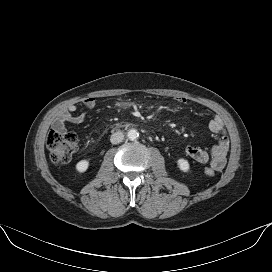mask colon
<instances>
[{
  "instance_id": "1",
  "label": "colon",
  "mask_w": 272,
  "mask_h": 272,
  "mask_svg": "<svg viewBox=\"0 0 272 272\" xmlns=\"http://www.w3.org/2000/svg\"><path fill=\"white\" fill-rule=\"evenodd\" d=\"M50 158L54 164L62 165L70 161L77 149V136L73 132H59L51 129L46 139ZM204 173L213 176L215 171L212 167H205Z\"/></svg>"
}]
</instances>
